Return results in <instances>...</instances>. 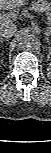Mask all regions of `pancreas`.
I'll return each instance as SVG.
<instances>
[{
	"mask_svg": "<svg viewBox=\"0 0 51 153\" xmlns=\"http://www.w3.org/2000/svg\"><path fill=\"white\" fill-rule=\"evenodd\" d=\"M29 10H33L35 12H43L46 15L51 14V2L48 0H35L29 7Z\"/></svg>",
	"mask_w": 51,
	"mask_h": 153,
	"instance_id": "obj_1",
	"label": "pancreas"
}]
</instances>
